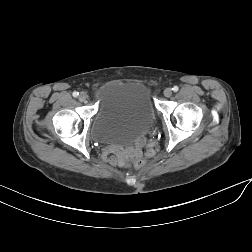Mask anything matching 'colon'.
Segmentation results:
<instances>
[{
	"label": "colon",
	"instance_id": "5ec220e1",
	"mask_svg": "<svg viewBox=\"0 0 252 252\" xmlns=\"http://www.w3.org/2000/svg\"><path fill=\"white\" fill-rule=\"evenodd\" d=\"M132 163L137 168L143 167L146 164V158L144 156L136 155L133 158Z\"/></svg>",
	"mask_w": 252,
	"mask_h": 252
}]
</instances>
